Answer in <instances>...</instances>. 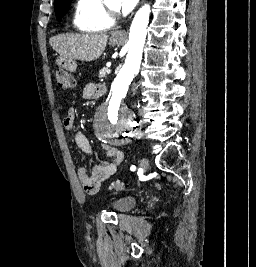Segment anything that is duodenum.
Here are the masks:
<instances>
[{"instance_id": "1", "label": "duodenum", "mask_w": 256, "mask_h": 267, "mask_svg": "<svg viewBox=\"0 0 256 267\" xmlns=\"http://www.w3.org/2000/svg\"><path fill=\"white\" fill-rule=\"evenodd\" d=\"M63 73H70V71H75V66H63ZM96 87H105V82H96Z\"/></svg>"}]
</instances>
